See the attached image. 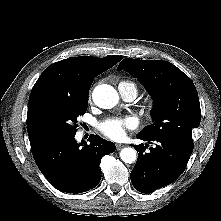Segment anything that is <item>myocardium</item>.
<instances>
[{
  "instance_id": "obj_1",
  "label": "myocardium",
  "mask_w": 221,
  "mask_h": 221,
  "mask_svg": "<svg viewBox=\"0 0 221 221\" xmlns=\"http://www.w3.org/2000/svg\"><path fill=\"white\" fill-rule=\"evenodd\" d=\"M146 106H147V109H148L149 111H152V110L154 109V107H155V102H154V100H153V99H149V100L147 101Z\"/></svg>"
}]
</instances>
